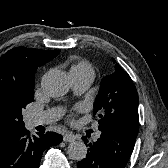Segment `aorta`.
<instances>
[{
  "instance_id": "aorta-1",
  "label": "aorta",
  "mask_w": 168,
  "mask_h": 168,
  "mask_svg": "<svg viewBox=\"0 0 168 168\" xmlns=\"http://www.w3.org/2000/svg\"><path fill=\"white\" fill-rule=\"evenodd\" d=\"M41 87L47 95L60 97L69 91L70 79L63 71H50L42 77ZM67 153L72 160L81 161L86 158L87 147L82 141H74L69 144Z\"/></svg>"
}]
</instances>
